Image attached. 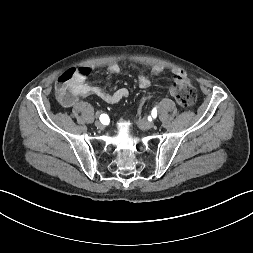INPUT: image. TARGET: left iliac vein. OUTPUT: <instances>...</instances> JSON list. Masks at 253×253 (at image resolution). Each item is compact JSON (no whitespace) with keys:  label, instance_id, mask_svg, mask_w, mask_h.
<instances>
[{"label":"left iliac vein","instance_id":"obj_1","mask_svg":"<svg viewBox=\"0 0 253 253\" xmlns=\"http://www.w3.org/2000/svg\"><path fill=\"white\" fill-rule=\"evenodd\" d=\"M139 125L142 129H152L155 127V123L154 122H151V121H148L144 118H141L139 119Z\"/></svg>","mask_w":253,"mask_h":253}]
</instances>
